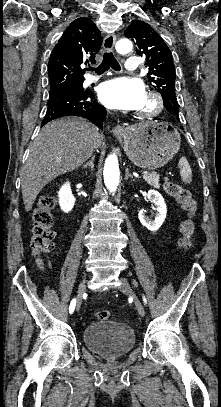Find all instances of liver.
Here are the masks:
<instances>
[{"mask_svg":"<svg viewBox=\"0 0 221 407\" xmlns=\"http://www.w3.org/2000/svg\"><path fill=\"white\" fill-rule=\"evenodd\" d=\"M102 144L97 127L82 118L67 117L46 124L31 144L21 173L26 212L48 183L81 166Z\"/></svg>","mask_w":221,"mask_h":407,"instance_id":"1","label":"liver"}]
</instances>
